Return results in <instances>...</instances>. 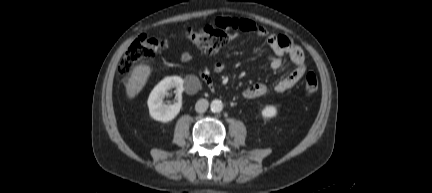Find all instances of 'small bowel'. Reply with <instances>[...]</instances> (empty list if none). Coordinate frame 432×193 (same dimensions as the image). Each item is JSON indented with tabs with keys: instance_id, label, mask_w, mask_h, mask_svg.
Here are the masks:
<instances>
[{
	"instance_id": "small-bowel-1",
	"label": "small bowel",
	"mask_w": 432,
	"mask_h": 193,
	"mask_svg": "<svg viewBox=\"0 0 432 193\" xmlns=\"http://www.w3.org/2000/svg\"><path fill=\"white\" fill-rule=\"evenodd\" d=\"M216 22L222 24L228 30H239L265 38L267 45L273 53L269 58V64L273 70L281 69L284 66L283 57H288L294 69L275 84V91L285 92L290 90L305 74L306 64L304 52L302 48L295 44L290 38L270 32L263 25L246 18H219ZM180 58L182 61L188 62L192 59V54L185 50L181 53ZM224 69L225 64L223 62L218 61L212 65V71L214 73H221ZM185 87L188 93L193 94L198 90V83L194 78H189L186 80ZM268 90L265 84L254 83L242 92V96L247 99H254L264 96L268 93Z\"/></svg>"
}]
</instances>
